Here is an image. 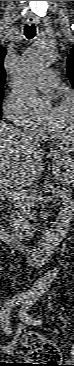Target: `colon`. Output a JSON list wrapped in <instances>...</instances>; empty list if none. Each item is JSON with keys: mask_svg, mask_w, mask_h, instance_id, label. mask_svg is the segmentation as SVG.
<instances>
[{"mask_svg": "<svg viewBox=\"0 0 74 366\" xmlns=\"http://www.w3.org/2000/svg\"><path fill=\"white\" fill-rule=\"evenodd\" d=\"M23 352L25 358L27 359H41L50 362H54L56 360V356L58 355V350L53 344L40 338L35 333H30L24 337ZM41 365L53 366L52 363Z\"/></svg>", "mask_w": 74, "mask_h": 366, "instance_id": "5ec220e1", "label": "colon"}]
</instances>
